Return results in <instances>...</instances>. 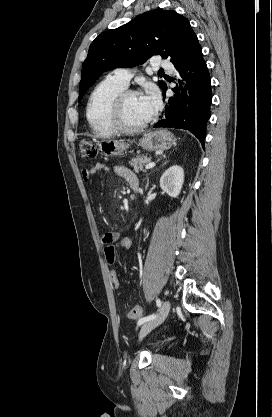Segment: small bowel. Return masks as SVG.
<instances>
[{
    "label": "small bowel",
    "mask_w": 272,
    "mask_h": 417,
    "mask_svg": "<svg viewBox=\"0 0 272 417\" xmlns=\"http://www.w3.org/2000/svg\"><path fill=\"white\" fill-rule=\"evenodd\" d=\"M100 171L108 172L110 171V167L105 163H96L95 165L88 166L82 171L83 178L89 180L91 176ZM114 171L117 175L127 180L129 184L134 181L138 182L137 176L129 168L123 165H117L114 167ZM118 236H120L118 232H105L101 235V241L103 244L107 245Z\"/></svg>",
    "instance_id": "c3829d8e"
}]
</instances>
